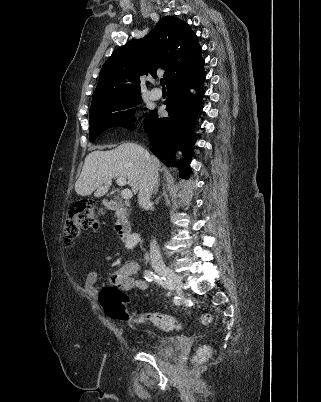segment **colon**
<instances>
[{
    "mask_svg": "<svg viewBox=\"0 0 321 402\" xmlns=\"http://www.w3.org/2000/svg\"><path fill=\"white\" fill-rule=\"evenodd\" d=\"M99 214L100 211L90 201L75 203L70 208L65 221L64 233L68 245L72 246L82 231L95 230L99 226ZM99 301L108 317L120 321L129 319L130 315L127 310L129 297L121 289L115 286H106L100 292ZM143 318L162 330L170 331L181 328V323L167 314L151 313L145 314ZM211 321L212 316L209 314H204L201 317L203 324H209ZM210 356L211 349L208 346H202L198 349L193 362L196 365L201 364Z\"/></svg>",
    "mask_w": 321,
    "mask_h": 402,
    "instance_id": "colon-1",
    "label": "colon"
}]
</instances>
